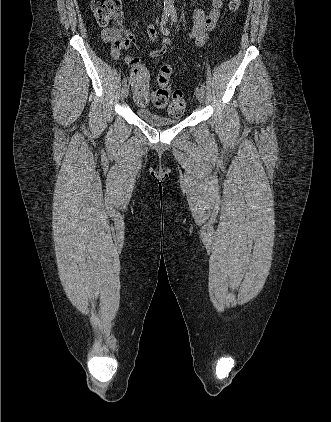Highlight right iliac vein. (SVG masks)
Wrapping results in <instances>:
<instances>
[{
  "instance_id": "63e3f726",
  "label": "right iliac vein",
  "mask_w": 331,
  "mask_h": 422,
  "mask_svg": "<svg viewBox=\"0 0 331 422\" xmlns=\"http://www.w3.org/2000/svg\"><path fill=\"white\" fill-rule=\"evenodd\" d=\"M128 94H129V86L128 85H124L122 87V90H121V98L122 99H126L127 96H128Z\"/></svg>"
}]
</instances>
